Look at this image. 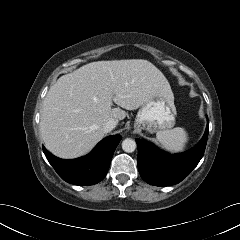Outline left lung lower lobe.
<instances>
[{
  "label": "left lung lower lobe",
  "instance_id": "0a47b994",
  "mask_svg": "<svg viewBox=\"0 0 240 240\" xmlns=\"http://www.w3.org/2000/svg\"><path fill=\"white\" fill-rule=\"evenodd\" d=\"M208 131L209 122L201 141L189 151L176 155H170L142 139H136L138 170L142 179L155 186H170L181 182L201 160Z\"/></svg>",
  "mask_w": 240,
  "mask_h": 240
}]
</instances>
